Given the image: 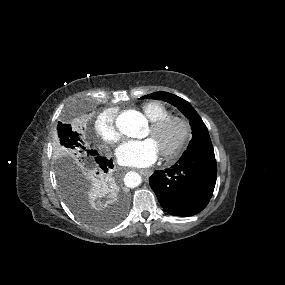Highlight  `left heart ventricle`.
Segmentation results:
<instances>
[{
    "instance_id": "obj_1",
    "label": "left heart ventricle",
    "mask_w": 285,
    "mask_h": 285,
    "mask_svg": "<svg viewBox=\"0 0 285 285\" xmlns=\"http://www.w3.org/2000/svg\"><path fill=\"white\" fill-rule=\"evenodd\" d=\"M179 133V128L177 126H173L164 135H155L150 127L147 136L153 138L157 142L160 151H162L164 148L170 147L176 142Z\"/></svg>"
}]
</instances>
